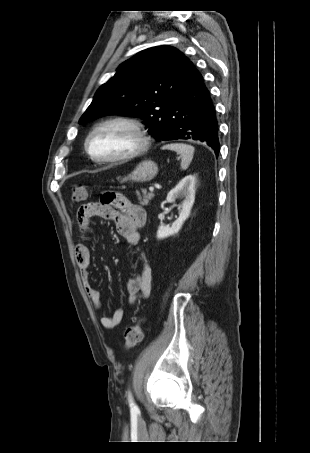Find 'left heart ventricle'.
I'll use <instances>...</instances> for the list:
<instances>
[{"label":"left heart ventricle","instance_id":"obj_1","mask_svg":"<svg viewBox=\"0 0 310 453\" xmlns=\"http://www.w3.org/2000/svg\"><path fill=\"white\" fill-rule=\"evenodd\" d=\"M138 141L126 125L113 124L99 130L90 141L92 152L100 157H116L137 147Z\"/></svg>","mask_w":310,"mask_h":453}]
</instances>
